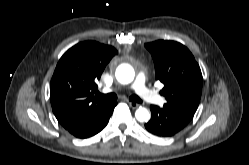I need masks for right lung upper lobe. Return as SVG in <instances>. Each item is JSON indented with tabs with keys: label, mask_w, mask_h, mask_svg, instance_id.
<instances>
[{
	"label": "right lung upper lobe",
	"mask_w": 249,
	"mask_h": 165,
	"mask_svg": "<svg viewBox=\"0 0 249 165\" xmlns=\"http://www.w3.org/2000/svg\"><path fill=\"white\" fill-rule=\"evenodd\" d=\"M117 50L95 41L70 48L59 60L50 83L52 110L68 129L93 116L109 102L97 98L96 81Z\"/></svg>",
	"instance_id": "cb5924a9"
}]
</instances>
